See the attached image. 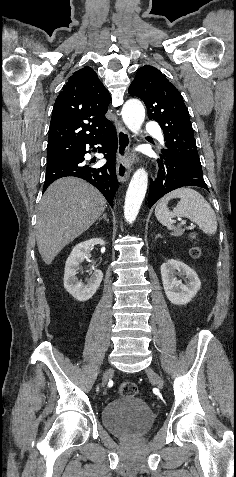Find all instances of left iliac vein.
Segmentation results:
<instances>
[{"instance_id":"left-iliac-vein-1","label":"left iliac vein","mask_w":236,"mask_h":477,"mask_svg":"<svg viewBox=\"0 0 236 477\" xmlns=\"http://www.w3.org/2000/svg\"><path fill=\"white\" fill-rule=\"evenodd\" d=\"M148 377L159 387L163 388V380L162 378L152 369L148 368L146 370Z\"/></svg>"}]
</instances>
